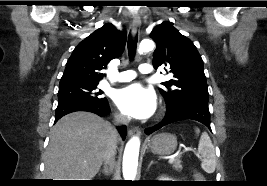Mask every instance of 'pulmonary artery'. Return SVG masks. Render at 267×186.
<instances>
[{
  "label": "pulmonary artery",
  "mask_w": 267,
  "mask_h": 186,
  "mask_svg": "<svg viewBox=\"0 0 267 186\" xmlns=\"http://www.w3.org/2000/svg\"><path fill=\"white\" fill-rule=\"evenodd\" d=\"M139 72L142 74H151L153 72V67L150 64H141L139 66ZM136 77V73L133 70L123 71L118 74L117 80L120 82H128Z\"/></svg>",
  "instance_id": "pulmonary-artery-1"
}]
</instances>
